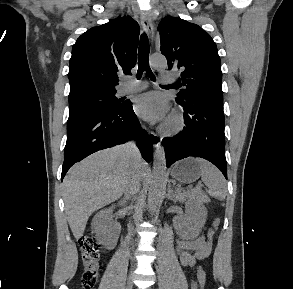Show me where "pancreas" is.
I'll return each mask as SVG.
<instances>
[{"label": "pancreas", "instance_id": "pancreas-1", "mask_svg": "<svg viewBox=\"0 0 293 289\" xmlns=\"http://www.w3.org/2000/svg\"><path fill=\"white\" fill-rule=\"evenodd\" d=\"M173 198L175 201H183L186 198H189V200L195 201L197 203H206L209 201L207 195L200 188L190 189L187 192L183 193L180 189H177L175 194L173 195Z\"/></svg>", "mask_w": 293, "mask_h": 289}]
</instances>
